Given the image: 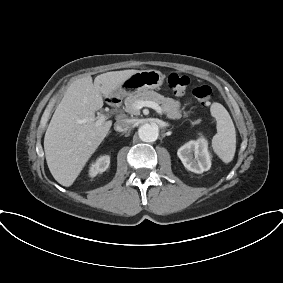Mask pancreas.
I'll list each match as a JSON object with an SVG mask.
<instances>
[{
    "mask_svg": "<svg viewBox=\"0 0 283 283\" xmlns=\"http://www.w3.org/2000/svg\"><path fill=\"white\" fill-rule=\"evenodd\" d=\"M154 101L161 105L163 112L170 119H180L182 116L187 117L188 113L180 109V102L172 98H166L155 91L143 90L137 94H130L125 99V110L130 113L137 115L138 110L133 108V104L137 101Z\"/></svg>",
    "mask_w": 283,
    "mask_h": 283,
    "instance_id": "cf45deb5",
    "label": "pancreas"
}]
</instances>
